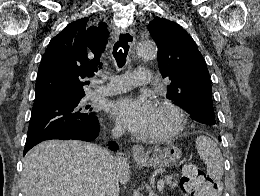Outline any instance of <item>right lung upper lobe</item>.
I'll return each instance as SVG.
<instances>
[{
    "mask_svg": "<svg viewBox=\"0 0 260 196\" xmlns=\"http://www.w3.org/2000/svg\"><path fill=\"white\" fill-rule=\"evenodd\" d=\"M88 21L85 17L68 24L50 41L38 69L33 105L62 95L83 94V86L90 83L87 79L102 67L107 25L101 22L89 27Z\"/></svg>",
    "mask_w": 260,
    "mask_h": 196,
    "instance_id": "1",
    "label": "right lung upper lobe"
}]
</instances>
